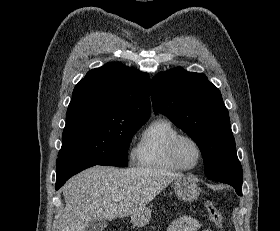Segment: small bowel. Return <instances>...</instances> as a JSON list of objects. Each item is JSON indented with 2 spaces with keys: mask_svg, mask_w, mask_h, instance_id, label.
Returning a JSON list of instances; mask_svg holds the SVG:
<instances>
[{
  "mask_svg": "<svg viewBox=\"0 0 280 231\" xmlns=\"http://www.w3.org/2000/svg\"><path fill=\"white\" fill-rule=\"evenodd\" d=\"M168 231H211L204 229L203 224L189 216H180L168 227Z\"/></svg>",
  "mask_w": 280,
  "mask_h": 231,
  "instance_id": "1",
  "label": "small bowel"
}]
</instances>
